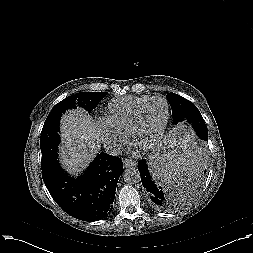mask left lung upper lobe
Here are the masks:
<instances>
[{"label": "left lung upper lobe", "instance_id": "left-lung-upper-lobe-1", "mask_svg": "<svg viewBox=\"0 0 253 253\" xmlns=\"http://www.w3.org/2000/svg\"><path fill=\"white\" fill-rule=\"evenodd\" d=\"M166 97L172 108L174 124L188 121L198 136L193 143H200L203 148L208 140V130L198 108L191 101L175 93H168Z\"/></svg>", "mask_w": 253, "mask_h": 253}]
</instances>
